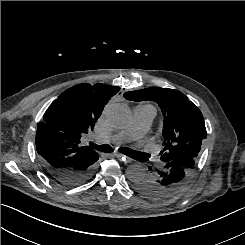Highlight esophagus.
I'll list each match as a JSON object with an SVG mask.
<instances>
[{"label":"esophagus","mask_w":245,"mask_h":245,"mask_svg":"<svg viewBox=\"0 0 245 245\" xmlns=\"http://www.w3.org/2000/svg\"><path fill=\"white\" fill-rule=\"evenodd\" d=\"M113 156L122 159L124 163H129L131 161L129 157L122 155L120 153H114Z\"/></svg>","instance_id":"1"}]
</instances>
